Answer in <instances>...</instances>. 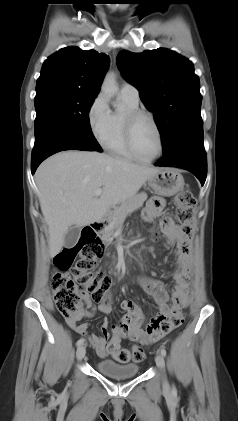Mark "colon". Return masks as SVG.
Returning <instances> with one entry per match:
<instances>
[{
	"label": "colon",
	"instance_id": "1",
	"mask_svg": "<svg viewBox=\"0 0 238 421\" xmlns=\"http://www.w3.org/2000/svg\"><path fill=\"white\" fill-rule=\"evenodd\" d=\"M176 219L180 224V231L187 238L193 234L192 222L196 208V199L185 189L174 198ZM159 238L158 233L153 239ZM102 254L99 239L91 233H83L79 242L62 249L54 257L56 271L52 278V290L55 304L59 312L66 319H75L85 312L88 300L100 304H110L108 290L111 279L98 269V258ZM185 318L183 309L174 310L165 320L159 330L146 338L138 346L130 349L117 348L114 358L119 363L130 361L141 362L145 357L144 347L158 341L162 336L178 328Z\"/></svg>",
	"mask_w": 238,
	"mask_h": 421
}]
</instances>
